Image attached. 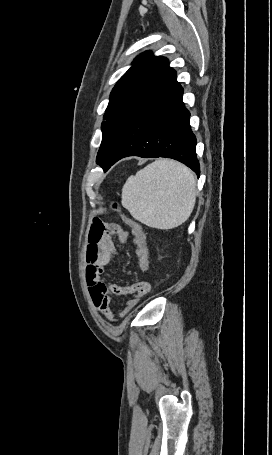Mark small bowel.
Masks as SVG:
<instances>
[{
  "mask_svg": "<svg viewBox=\"0 0 272 455\" xmlns=\"http://www.w3.org/2000/svg\"><path fill=\"white\" fill-rule=\"evenodd\" d=\"M115 235L121 244L129 240V233L122 227L110 225L98 219L92 221L86 251L87 282L94 305L110 321L116 317L125 316L133 309L139 298L146 295L151 284L148 280H141L129 286L121 287L107 282L104 274L116 252L113 241ZM133 296L128 299L120 309L113 305V296Z\"/></svg>",
  "mask_w": 272,
  "mask_h": 455,
  "instance_id": "small-bowel-1",
  "label": "small bowel"
}]
</instances>
